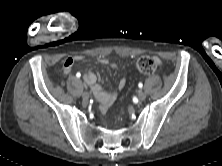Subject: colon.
Instances as JSON below:
<instances>
[{"mask_svg":"<svg viewBox=\"0 0 222 166\" xmlns=\"http://www.w3.org/2000/svg\"><path fill=\"white\" fill-rule=\"evenodd\" d=\"M159 66V60L153 56H142L136 62V68L144 74L154 73Z\"/></svg>","mask_w":222,"mask_h":166,"instance_id":"obj_1","label":"colon"}]
</instances>
